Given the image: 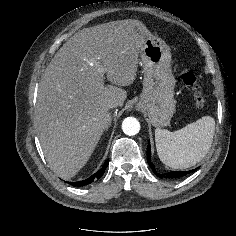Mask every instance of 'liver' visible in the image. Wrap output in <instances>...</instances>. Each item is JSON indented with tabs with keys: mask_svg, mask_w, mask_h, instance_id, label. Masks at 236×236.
<instances>
[{
	"mask_svg": "<svg viewBox=\"0 0 236 236\" xmlns=\"http://www.w3.org/2000/svg\"><path fill=\"white\" fill-rule=\"evenodd\" d=\"M153 35L138 20L80 30L55 54L41 77L37 131L50 168L62 179L87 163L110 124L109 103L122 106L137 76L138 55ZM99 61L100 72L90 65ZM113 85L104 84V74ZM118 86V87H117Z\"/></svg>",
	"mask_w": 236,
	"mask_h": 236,
	"instance_id": "6515ba94",
	"label": "liver"
}]
</instances>
